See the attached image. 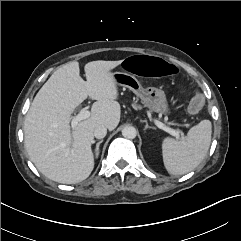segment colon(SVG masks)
Wrapping results in <instances>:
<instances>
[{"mask_svg": "<svg viewBox=\"0 0 241 241\" xmlns=\"http://www.w3.org/2000/svg\"><path fill=\"white\" fill-rule=\"evenodd\" d=\"M122 66L129 73H135L141 77H155L160 75L165 78H172L177 73V66L174 62L163 57L150 55L147 52H140L137 56L126 55L122 59ZM204 104L201 94H196L190 102V111L198 113Z\"/></svg>", "mask_w": 241, "mask_h": 241, "instance_id": "1", "label": "colon"}]
</instances>
